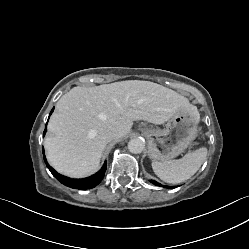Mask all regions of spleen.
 Returning <instances> with one entry per match:
<instances>
[{
	"mask_svg": "<svg viewBox=\"0 0 249 249\" xmlns=\"http://www.w3.org/2000/svg\"><path fill=\"white\" fill-rule=\"evenodd\" d=\"M207 157V148L202 147L186 154L181 159L152 162L154 173L164 182L178 184L191 178Z\"/></svg>",
	"mask_w": 249,
	"mask_h": 249,
	"instance_id": "obj_1",
	"label": "spleen"
}]
</instances>
